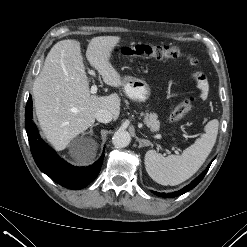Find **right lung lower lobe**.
I'll return each mask as SVG.
<instances>
[{"label": "right lung lower lobe", "instance_id": "obj_1", "mask_svg": "<svg viewBox=\"0 0 247 247\" xmlns=\"http://www.w3.org/2000/svg\"><path fill=\"white\" fill-rule=\"evenodd\" d=\"M32 118L30 95L25 110V126L33 158L43 173L61 186L73 190L82 189L95 180L101 169L104 154L91 166L74 167L59 158L56 152L41 139Z\"/></svg>", "mask_w": 247, "mask_h": 247}]
</instances>
